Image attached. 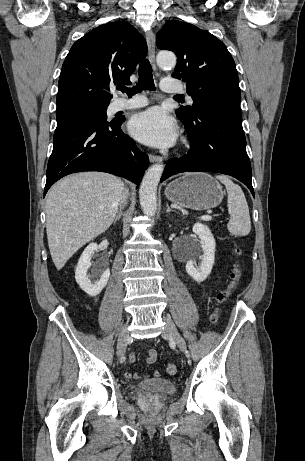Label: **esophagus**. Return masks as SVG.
<instances>
[{"instance_id": "34e87169", "label": "esophagus", "mask_w": 305, "mask_h": 461, "mask_svg": "<svg viewBox=\"0 0 305 461\" xmlns=\"http://www.w3.org/2000/svg\"><path fill=\"white\" fill-rule=\"evenodd\" d=\"M146 40L148 45V56L149 60L152 63L153 68L156 70V63H155V35L151 29L146 31ZM150 162H160L162 161V157L158 155H150L149 156Z\"/></svg>"}]
</instances>
